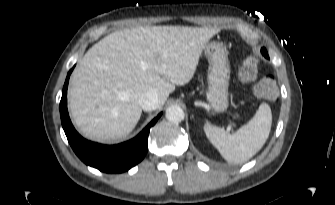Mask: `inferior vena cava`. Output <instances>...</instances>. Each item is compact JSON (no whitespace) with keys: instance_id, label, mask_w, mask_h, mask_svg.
I'll list each match as a JSON object with an SVG mask.
<instances>
[{"instance_id":"602c4592","label":"inferior vena cava","mask_w":335,"mask_h":205,"mask_svg":"<svg viewBox=\"0 0 335 205\" xmlns=\"http://www.w3.org/2000/svg\"><path fill=\"white\" fill-rule=\"evenodd\" d=\"M158 93L151 89L144 92L139 98V104L144 111H152L158 108Z\"/></svg>"}]
</instances>
